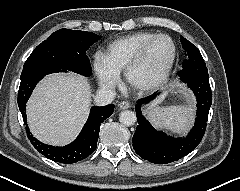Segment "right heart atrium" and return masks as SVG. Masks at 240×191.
I'll return each mask as SVG.
<instances>
[{
	"label": "right heart atrium",
	"mask_w": 240,
	"mask_h": 191,
	"mask_svg": "<svg viewBox=\"0 0 240 191\" xmlns=\"http://www.w3.org/2000/svg\"><path fill=\"white\" fill-rule=\"evenodd\" d=\"M93 69L102 87L112 90L119 84V72L113 67L106 54L97 52L94 55Z\"/></svg>",
	"instance_id": "d8ad5b80"
}]
</instances>
